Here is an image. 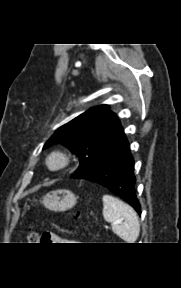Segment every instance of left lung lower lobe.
Returning a JSON list of instances; mask_svg holds the SVG:
<instances>
[{
    "label": "left lung lower lobe",
    "mask_w": 181,
    "mask_h": 288,
    "mask_svg": "<svg viewBox=\"0 0 181 288\" xmlns=\"http://www.w3.org/2000/svg\"><path fill=\"white\" fill-rule=\"evenodd\" d=\"M81 179L106 187L123 198L141 215V206L135 194L134 159L125 135L116 148Z\"/></svg>",
    "instance_id": "obj_1"
}]
</instances>
